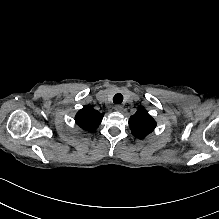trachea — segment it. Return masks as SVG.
<instances>
[{
	"instance_id": "1",
	"label": "trachea",
	"mask_w": 219,
	"mask_h": 219,
	"mask_svg": "<svg viewBox=\"0 0 219 219\" xmlns=\"http://www.w3.org/2000/svg\"><path fill=\"white\" fill-rule=\"evenodd\" d=\"M123 101V96L122 94L117 93L114 97H113V102L115 104H121Z\"/></svg>"
}]
</instances>
